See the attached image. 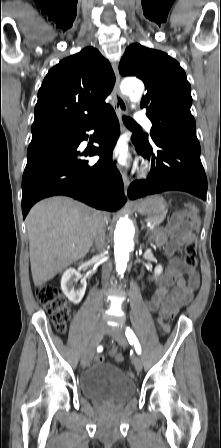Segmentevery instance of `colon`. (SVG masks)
I'll return each instance as SVG.
<instances>
[{
	"instance_id": "5ec220e1",
	"label": "colon",
	"mask_w": 221,
	"mask_h": 448,
	"mask_svg": "<svg viewBox=\"0 0 221 448\" xmlns=\"http://www.w3.org/2000/svg\"><path fill=\"white\" fill-rule=\"evenodd\" d=\"M185 221L190 230H197L199 219L196 214H190ZM184 264L188 268L197 267L198 260L196 256V243L194 241H189L185 244ZM36 298L49 312L57 330L64 332L70 317V309L67 302L62 298L58 287L50 283H43L36 290ZM165 327L167 326L165 325ZM121 359L122 357L120 355L115 357L116 362H120ZM102 361L103 358L99 357L98 362Z\"/></svg>"
}]
</instances>
